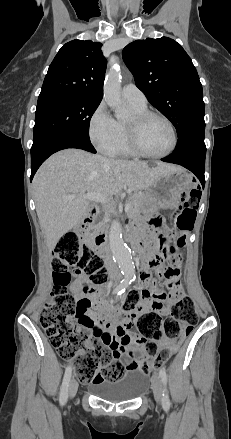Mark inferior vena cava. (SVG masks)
<instances>
[{
  "mask_svg": "<svg viewBox=\"0 0 231 439\" xmlns=\"http://www.w3.org/2000/svg\"><path fill=\"white\" fill-rule=\"evenodd\" d=\"M106 252H107V256H106V260H105V262H106V264H107V267H108L109 273H110V274H116V273H118V268H117L116 264L112 261V259H111V255H110V253H109V249H108V248H106Z\"/></svg>",
  "mask_w": 231,
  "mask_h": 439,
  "instance_id": "602c4592",
  "label": "inferior vena cava"
}]
</instances>
